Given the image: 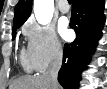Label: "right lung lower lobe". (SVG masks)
Segmentation results:
<instances>
[{"mask_svg": "<svg viewBox=\"0 0 107 89\" xmlns=\"http://www.w3.org/2000/svg\"><path fill=\"white\" fill-rule=\"evenodd\" d=\"M103 0H73L70 26L76 32V40L65 44L63 63L58 81L64 89L79 86L80 73L90 60L89 53L96 47L105 22Z\"/></svg>", "mask_w": 107, "mask_h": 89, "instance_id": "right-lung-lower-lobe-1", "label": "right lung lower lobe"}]
</instances>
